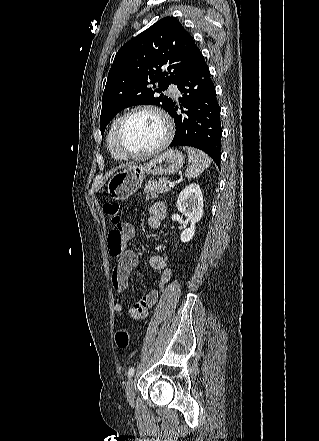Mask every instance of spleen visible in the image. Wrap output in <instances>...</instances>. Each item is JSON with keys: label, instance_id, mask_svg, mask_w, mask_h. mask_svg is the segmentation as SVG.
Returning <instances> with one entry per match:
<instances>
[{"label": "spleen", "instance_id": "3e777b00", "mask_svg": "<svg viewBox=\"0 0 319 441\" xmlns=\"http://www.w3.org/2000/svg\"><path fill=\"white\" fill-rule=\"evenodd\" d=\"M183 150L188 153L190 162L185 171V176L188 179L196 178L209 167L211 159L203 151L191 147H183Z\"/></svg>", "mask_w": 319, "mask_h": 441}]
</instances>
